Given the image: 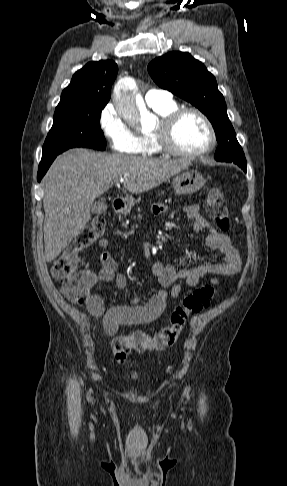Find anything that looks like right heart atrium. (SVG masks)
<instances>
[{
  "label": "right heart atrium",
  "mask_w": 287,
  "mask_h": 486,
  "mask_svg": "<svg viewBox=\"0 0 287 486\" xmlns=\"http://www.w3.org/2000/svg\"><path fill=\"white\" fill-rule=\"evenodd\" d=\"M99 126L113 151L134 154L139 150V137L113 104H107L100 112Z\"/></svg>",
  "instance_id": "d8ad5b80"
}]
</instances>
